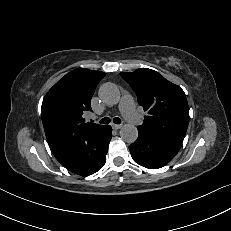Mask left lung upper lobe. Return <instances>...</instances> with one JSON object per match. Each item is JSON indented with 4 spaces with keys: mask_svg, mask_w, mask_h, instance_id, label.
<instances>
[{
    "mask_svg": "<svg viewBox=\"0 0 231 231\" xmlns=\"http://www.w3.org/2000/svg\"><path fill=\"white\" fill-rule=\"evenodd\" d=\"M148 112L138 130L168 140L183 142L189 122V108L184 91L158 72L141 68L120 73Z\"/></svg>",
    "mask_w": 231,
    "mask_h": 231,
    "instance_id": "left-lung-upper-lobe-1",
    "label": "left lung upper lobe"
}]
</instances>
